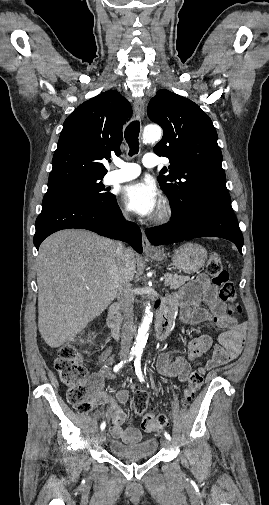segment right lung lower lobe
Segmentation results:
<instances>
[{
    "instance_id": "right-lung-lower-lobe-1",
    "label": "right lung lower lobe",
    "mask_w": 269,
    "mask_h": 505,
    "mask_svg": "<svg viewBox=\"0 0 269 505\" xmlns=\"http://www.w3.org/2000/svg\"><path fill=\"white\" fill-rule=\"evenodd\" d=\"M68 228L87 229L99 235L122 240L142 253V236L139 227L126 222L116 198L102 206L77 198H60L43 202L42 211L36 219L34 245L50 234Z\"/></svg>"
}]
</instances>
